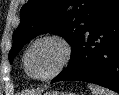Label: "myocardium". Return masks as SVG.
I'll return each instance as SVG.
<instances>
[{"mask_svg":"<svg viewBox=\"0 0 119 95\" xmlns=\"http://www.w3.org/2000/svg\"><path fill=\"white\" fill-rule=\"evenodd\" d=\"M48 40L56 41L57 43H59L62 46L63 57H62V60L60 61V63L58 64V66L55 68V70L52 73H50L47 76L38 77V76L33 75L29 70L28 56H29L31 49L36 44H38L42 41H48ZM72 57H73V46H72L71 42L65 36H63L61 34H46V35H42V36L36 38L27 47V49L24 53V56H23V65H24L25 72L31 78L38 80V81H48V80H51L54 77H56L58 74H60L69 65V63L72 60Z\"/></svg>","mask_w":119,"mask_h":95,"instance_id":"f54148a6","label":"myocardium"}]
</instances>
